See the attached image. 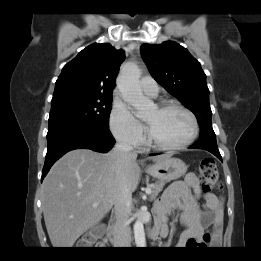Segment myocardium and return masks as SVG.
Instances as JSON below:
<instances>
[{"instance_id": "1", "label": "myocardium", "mask_w": 261, "mask_h": 261, "mask_svg": "<svg viewBox=\"0 0 261 261\" xmlns=\"http://www.w3.org/2000/svg\"><path fill=\"white\" fill-rule=\"evenodd\" d=\"M157 109L160 111H166L169 109H178L184 112L191 120L192 130L190 135L181 143L177 144H163L155 140L152 136L148 126H146L147 144L155 149L164 151L181 150L193 143L199 133V123L195 114L186 106L175 101H164L157 105Z\"/></svg>"}]
</instances>
